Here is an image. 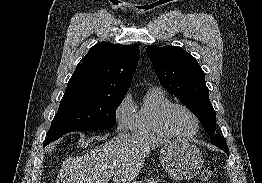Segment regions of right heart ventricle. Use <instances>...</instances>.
I'll return each instance as SVG.
<instances>
[{"label":"right heart ventricle","mask_w":262,"mask_h":183,"mask_svg":"<svg viewBox=\"0 0 262 183\" xmlns=\"http://www.w3.org/2000/svg\"><path fill=\"white\" fill-rule=\"evenodd\" d=\"M171 103V100L161 89H150L145 95L142 104L134 113L131 127L132 133L140 137L149 138L172 137L161 125V115Z\"/></svg>","instance_id":"obj_1"}]
</instances>
